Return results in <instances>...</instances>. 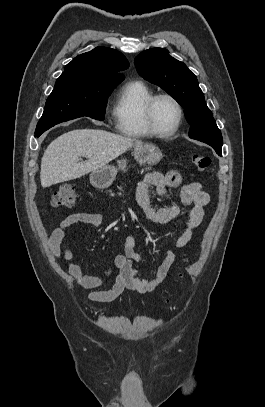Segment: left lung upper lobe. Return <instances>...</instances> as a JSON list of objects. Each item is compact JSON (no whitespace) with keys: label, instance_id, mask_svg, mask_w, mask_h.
I'll use <instances>...</instances> for the list:
<instances>
[{"label":"left lung upper lobe","instance_id":"1","mask_svg":"<svg viewBox=\"0 0 265 407\" xmlns=\"http://www.w3.org/2000/svg\"><path fill=\"white\" fill-rule=\"evenodd\" d=\"M134 63L143 78L163 88L184 108L186 120L191 125L189 137L215 145L221 151V132L205 102L197 77L187 66L163 48L141 52Z\"/></svg>","mask_w":265,"mask_h":407}]
</instances>
